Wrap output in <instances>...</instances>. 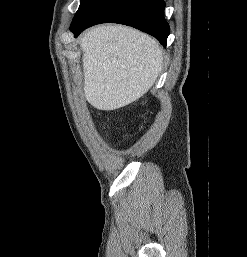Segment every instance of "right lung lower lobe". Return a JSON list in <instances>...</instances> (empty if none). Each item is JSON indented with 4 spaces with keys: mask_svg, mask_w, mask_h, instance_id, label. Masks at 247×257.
Here are the masks:
<instances>
[{
    "mask_svg": "<svg viewBox=\"0 0 247 257\" xmlns=\"http://www.w3.org/2000/svg\"><path fill=\"white\" fill-rule=\"evenodd\" d=\"M164 9L163 0H95L84 16L71 24L70 30L77 37L84 29L99 23H120L146 32L166 46L170 28Z\"/></svg>",
    "mask_w": 247,
    "mask_h": 257,
    "instance_id": "obj_1",
    "label": "right lung lower lobe"
}]
</instances>
